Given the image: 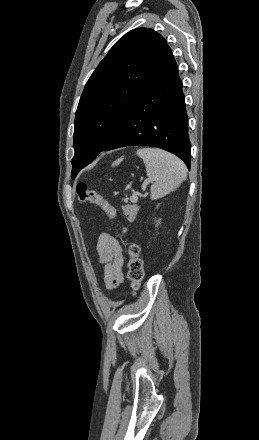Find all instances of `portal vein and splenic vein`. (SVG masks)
Instances as JSON below:
<instances>
[{
  "instance_id": "18ae733b",
  "label": "portal vein and splenic vein",
  "mask_w": 259,
  "mask_h": 440,
  "mask_svg": "<svg viewBox=\"0 0 259 440\" xmlns=\"http://www.w3.org/2000/svg\"><path fill=\"white\" fill-rule=\"evenodd\" d=\"M150 182H151V180H146V181H145V184H148V183H150ZM137 200H138V197H137V194L135 193V194L132 195V200H131V201H132L133 203H136Z\"/></svg>"
}]
</instances>
